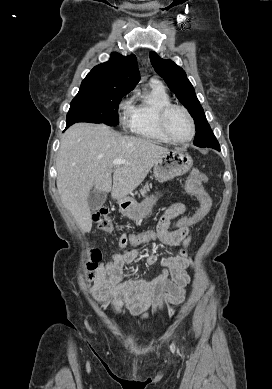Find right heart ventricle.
I'll return each instance as SVG.
<instances>
[{
	"label": "right heart ventricle",
	"instance_id": "obj_1",
	"mask_svg": "<svg viewBox=\"0 0 272 389\" xmlns=\"http://www.w3.org/2000/svg\"><path fill=\"white\" fill-rule=\"evenodd\" d=\"M171 98L161 84L151 83L128 111L127 127L139 137L157 142H169L161 132L158 116Z\"/></svg>",
	"mask_w": 272,
	"mask_h": 389
}]
</instances>
